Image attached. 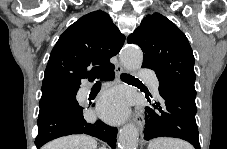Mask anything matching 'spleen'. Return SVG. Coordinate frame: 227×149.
Segmentation results:
<instances>
[{
  "instance_id": "1",
  "label": "spleen",
  "mask_w": 227,
  "mask_h": 149,
  "mask_svg": "<svg viewBox=\"0 0 227 149\" xmlns=\"http://www.w3.org/2000/svg\"><path fill=\"white\" fill-rule=\"evenodd\" d=\"M148 149H192V147L179 139L160 137L150 141Z\"/></svg>"
}]
</instances>
